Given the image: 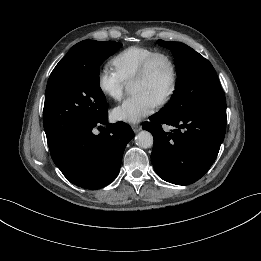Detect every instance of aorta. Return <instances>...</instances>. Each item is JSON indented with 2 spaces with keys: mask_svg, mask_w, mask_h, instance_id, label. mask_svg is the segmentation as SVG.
<instances>
[{
  "mask_svg": "<svg viewBox=\"0 0 261 261\" xmlns=\"http://www.w3.org/2000/svg\"><path fill=\"white\" fill-rule=\"evenodd\" d=\"M135 143L140 148H150L153 145V136L148 131H141L135 137Z\"/></svg>",
  "mask_w": 261,
  "mask_h": 261,
  "instance_id": "obj_1",
  "label": "aorta"
}]
</instances>
